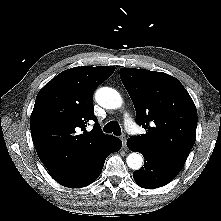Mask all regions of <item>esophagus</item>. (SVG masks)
Returning <instances> with one entry per match:
<instances>
[{"label":"esophagus","mask_w":221,"mask_h":221,"mask_svg":"<svg viewBox=\"0 0 221 221\" xmlns=\"http://www.w3.org/2000/svg\"><path fill=\"white\" fill-rule=\"evenodd\" d=\"M120 138H121L122 143H123V148H126V141H127L126 135L123 134V135H121Z\"/></svg>","instance_id":"obj_1"}]
</instances>
